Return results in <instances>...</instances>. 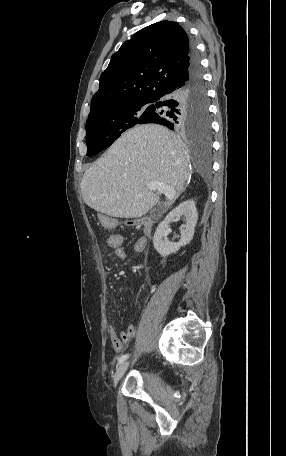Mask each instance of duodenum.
<instances>
[{
    "label": "duodenum",
    "mask_w": 286,
    "mask_h": 456,
    "mask_svg": "<svg viewBox=\"0 0 286 456\" xmlns=\"http://www.w3.org/2000/svg\"><path fill=\"white\" fill-rule=\"evenodd\" d=\"M131 225H135V221L134 222H130ZM139 224L141 226V229L143 231V234L145 236H148L150 234V223L146 220H140L139 221Z\"/></svg>",
    "instance_id": "410a0bca"
}]
</instances>
